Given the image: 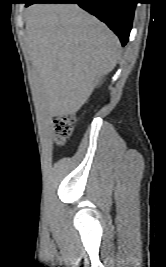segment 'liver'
Returning <instances> with one entry per match:
<instances>
[{
	"label": "liver",
	"instance_id": "obj_1",
	"mask_svg": "<svg viewBox=\"0 0 166 267\" xmlns=\"http://www.w3.org/2000/svg\"><path fill=\"white\" fill-rule=\"evenodd\" d=\"M25 41L52 116L75 114L120 57L117 36L75 4L31 6Z\"/></svg>",
	"mask_w": 166,
	"mask_h": 267
}]
</instances>
